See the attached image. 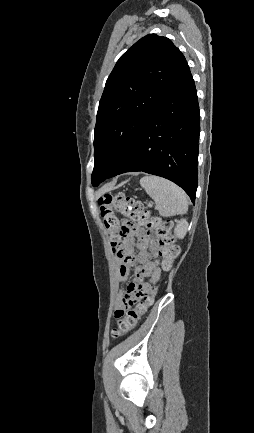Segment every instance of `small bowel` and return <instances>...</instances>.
Wrapping results in <instances>:
<instances>
[{
	"mask_svg": "<svg viewBox=\"0 0 254 433\" xmlns=\"http://www.w3.org/2000/svg\"><path fill=\"white\" fill-rule=\"evenodd\" d=\"M137 240L129 236L126 242V254L122 257L116 255L117 277L121 282L128 278L131 268H135V278L128 283L117 300V309L124 305L128 296L135 297L137 301H153L156 294V285L161 276V269L156 261L158 247L154 242V237L150 232L143 234L141 230L137 233ZM134 246L138 249V254H134ZM149 249V251H148ZM144 277H148L144 280Z\"/></svg>",
	"mask_w": 254,
	"mask_h": 433,
	"instance_id": "c3829d8e",
	"label": "small bowel"
}]
</instances>
